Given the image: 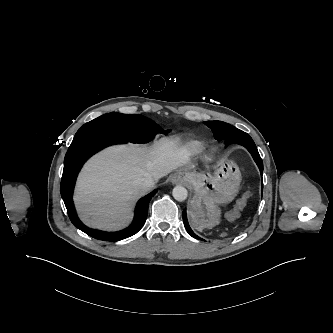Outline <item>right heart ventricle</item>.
<instances>
[{
	"label": "right heart ventricle",
	"mask_w": 333,
	"mask_h": 333,
	"mask_svg": "<svg viewBox=\"0 0 333 333\" xmlns=\"http://www.w3.org/2000/svg\"><path fill=\"white\" fill-rule=\"evenodd\" d=\"M190 147L193 149V150H199L201 148V144L198 143V142H192L190 144Z\"/></svg>",
	"instance_id": "e07e8e85"
}]
</instances>
